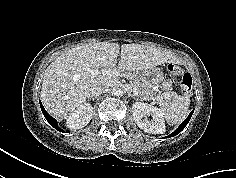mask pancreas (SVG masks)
<instances>
[{
    "instance_id": "obj_1",
    "label": "pancreas",
    "mask_w": 236,
    "mask_h": 178,
    "mask_svg": "<svg viewBox=\"0 0 236 178\" xmlns=\"http://www.w3.org/2000/svg\"><path fill=\"white\" fill-rule=\"evenodd\" d=\"M122 75L129 79V81H132L133 89L138 93L142 100L154 98L155 93L151 89H146L135 73L122 72Z\"/></svg>"
}]
</instances>
